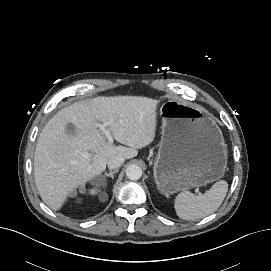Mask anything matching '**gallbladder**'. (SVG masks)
<instances>
[{
    "label": "gallbladder",
    "instance_id": "gallbladder-1",
    "mask_svg": "<svg viewBox=\"0 0 271 271\" xmlns=\"http://www.w3.org/2000/svg\"><path fill=\"white\" fill-rule=\"evenodd\" d=\"M66 131L68 134L70 135H74L76 133V128L73 124H68L67 127H66Z\"/></svg>",
    "mask_w": 271,
    "mask_h": 271
}]
</instances>
